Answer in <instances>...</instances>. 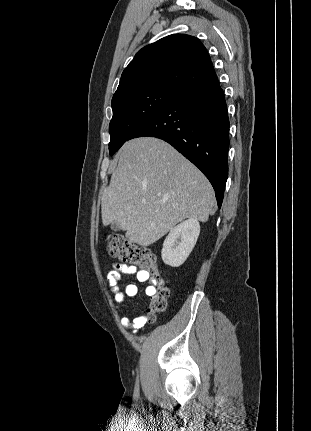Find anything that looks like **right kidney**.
<instances>
[{
  "label": "right kidney",
  "instance_id": "1",
  "mask_svg": "<svg viewBox=\"0 0 311 431\" xmlns=\"http://www.w3.org/2000/svg\"><path fill=\"white\" fill-rule=\"evenodd\" d=\"M200 233V223L195 217L175 225L164 239L162 259L167 265L179 267L191 253Z\"/></svg>",
  "mask_w": 311,
  "mask_h": 431
}]
</instances>
